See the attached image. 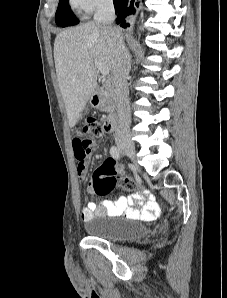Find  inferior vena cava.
<instances>
[{"label":"inferior vena cava","instance_id":"1","mask_svg":"<svg viewBox=\"0 0 227 298\" xmlns=\"http://www.w3.org/2000/svg\"><path fill=\"white\" fill-rule=\"evenodd\" d=\"M115 9L113 0H101L94 14V22L108 32L113 40V69L112 86L117 102L118 125L115 130V140H129L130 138V114H129V90L127 77L131 69V57L125 47L123 37L116 34L113 22Z\"/></svg>","mask_w":227,"mask_h":298}]
</instances>
